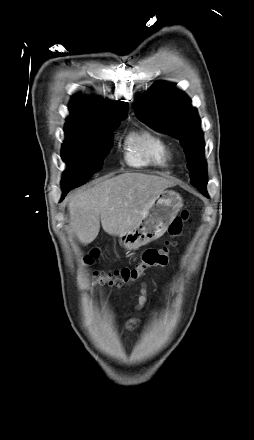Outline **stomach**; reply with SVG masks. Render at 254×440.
<instances>
[{
    "mask_svg": "<svg viewBox=\"0 0 254 440\" xmlns=\"http://www.w3.org/2000/svg\"><path fill=\"white\" fill-rule=\"evenodd\" d=\"M182 206V197L177 192L164 189L137 227L119 236L120 244L128 250H134L160 238Z\"/></svg>",
    "mask_w": 254,
    "mask_h": 440,
    "instance_id": "1",
    "label": "stomach"
}]
</instances>
